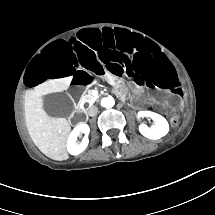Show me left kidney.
Instances as JSON below:
<instances>
[{"instance_id": "left-kidney-1", "label": "left kidney", "mask_w": 215, "mask_h": 215, "mask_svg": "<svg viewBox=\"0 0 215 215\" xmlns=\"http://www.w3.org/2000/svg\"><path fill=\"white\" fill-rule=\"evenodd\" d=\"M145 116L152 118L155 122V125L151 128L148 127L146 124L140 125L139 131L142 135L150 139H159L168 133L169 123L162 115L148 110H142L137 112L138 120Z\"/></svg>"}]
</instances>
